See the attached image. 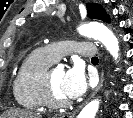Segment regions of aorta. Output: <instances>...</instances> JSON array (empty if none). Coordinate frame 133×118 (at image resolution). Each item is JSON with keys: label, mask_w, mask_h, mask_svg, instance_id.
I'll use <instances>...</instances> for the list:
<instances>
[{"label": "aorta", "mask_w": 133, "mask_h": 118, "mask_svg": "<svg viewBox=\"0 0 133 118\" xmlns=\"http://www.w3.org/2000/svg\"><path fill=\"white\" fill-rule=\"evenodd\" d=\"M79 33L82 36L94 38L99 40L107 49V51L112 55V57L117 60L119 56V42L113 32L107 28L105 25L90 22L79 27ZM100 100L94 99L90 101L79 113L77 118H95L96 113L99 109Z\"/></svg>", "instance_id": "obj_1"}]
</instances>
